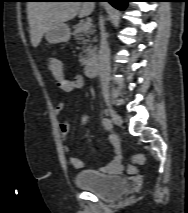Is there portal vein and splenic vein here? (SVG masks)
I'll list each match as a JSON object with an SVG mask.
<instances>
[{
  "label": "portal vein and splenic vein",
  "instance_id": "obj_1",
  "mask_svg": "<svg viewBox=\"0 0 188 213\" xmlns=\"http://www.w3.org/2000/svg\"><path fill=\"white\" fill-rule=\"evenodd\" d=\"M90 27H91V22H89V21L85 22L84 25H83L84 30H87Z\"/></svg>",
  "mask_w": 188,
  "mask_h": 213
}]
</instances>
